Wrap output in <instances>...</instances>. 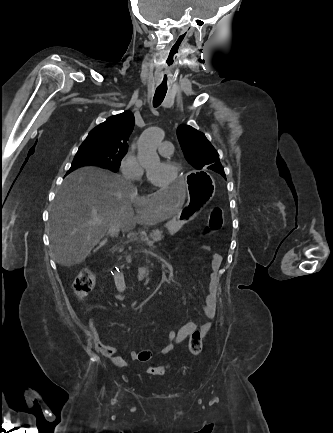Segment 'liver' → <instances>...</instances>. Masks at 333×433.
Here are the masks:
<instances>
[{
  "mask_svg": "<svg viewBox=\"0 0 333 433\" xmlns=\"http://www.w3.org/2000/svg\"><path fill=\"white\" fill-rule=\"evenodd\" d=\"M146 200L126 178L99 167H83L70 173L61 185L50 209V243L54 258L62 266L82 263L111 224L129 229L133 208L134 222L154 226L181 210L188 201L186 183H168ZM101 220V223H94Z\"/></svg>",
  "mask_w": 333,
  "mask_h": 433,
  "instance_id": "6515ba94",
  "label": "liver"
}]
</instances>
